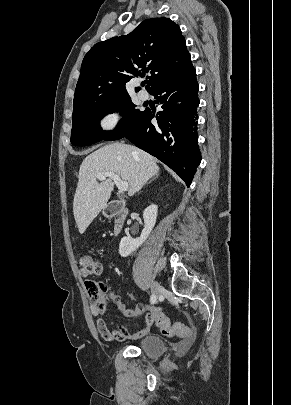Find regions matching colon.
Instances as JSON below:
<instances>
[{
  "label": "colon",
  "mask_w": 291,
  "mask_h": 405,
  "mask_svg": "<svg viewBox=\"0 0 291 405\" xmlns=\"http://www.w3.org/2000/svg\"><path fill=\"white\" fill-rule=\"evenodd\" d=\"M79 271L81 276L86 279L85 287L93 308L97 312H102L105 308L104 296L107 286L94 279L102 273L101 263L89 254L81 255L79 258ZM148 315L153 324L167 337H177L184 340H189L193 337V332L189 326L183 323L172 324L158 306H151Z\"/></svg>",
  "instance_id": "obj_1"
}]
</instances>
